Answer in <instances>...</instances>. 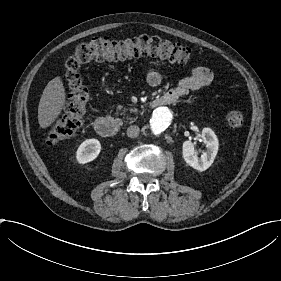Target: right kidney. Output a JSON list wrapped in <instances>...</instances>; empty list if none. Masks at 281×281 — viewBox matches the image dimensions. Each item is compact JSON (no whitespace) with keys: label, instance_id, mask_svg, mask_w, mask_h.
Here are the masks:
<instances>
[{"label":"right kidney","instance_id":"obj_1","mask_svg":"<svg viewBox=\"0 0 281 281\" xmlns=\"http://www.w3.org/2000/svg\"><path fill=\"white\" fill-rule=\"evenodd\" d=\"M102 149L101 143L98 139H86L78 147L75 159L80 165H85L94 161L100 154Z\"/></svg>","mask_w":281,"mask_h":281}]
</instances>
